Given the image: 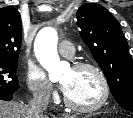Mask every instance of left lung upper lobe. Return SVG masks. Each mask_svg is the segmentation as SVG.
I'll list each match as a JSON object with an SVG mask.
<instances>
[{"label":"left lung upper lobe","instance_id":"5c2ea615","mask_svg":"<svg viewBox=\"0 0 133 118\" xmlns=\"http://www.w3.org/2000/svg\"><path fill=\"white\" fill-rule=\"evenodd\" d=\"M80 35L99 63L119 105L133 111V60L116 18L103 6L85 3L77 13Z\"/></svg>","mask_w":133,"mask_h":118}]
</instances>
